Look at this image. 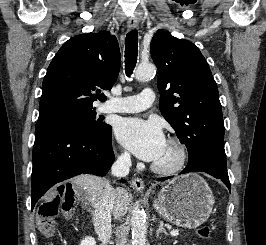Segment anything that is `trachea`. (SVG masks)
<instances>
[{
  "label": "trachea",
  "mask_w": 266,
  "mask_h": 245,
  "mask_svg": "<svg viewBox=\"0 0 266 245\" xmlns=\"http://www.w3.org/2000/svg\"><path fill=\"white\" fill-rule=\"evenodd\" d=\"M138 38L137 30H132L125 39V71L128 77L132 74L137 63Z\"/></svg>",
  "instance_id": "1"
}]
</instances>
